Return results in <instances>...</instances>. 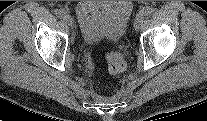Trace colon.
<instances>
[{"instance_id":"colon-1","label":"colon","mask_w":207,"mask_h":121,"mask_svg":"<svg viewBox=\"0 0 207 121\" xmlns=\"http://www.w3.org/2000/svg\"><path fill=\"white\" fill-rule=\"evenodd\" d=\"M108 70L112 74H120L126 68L125 59L120 51H111L106 56Z\"/></svg>"}]
</instances>
